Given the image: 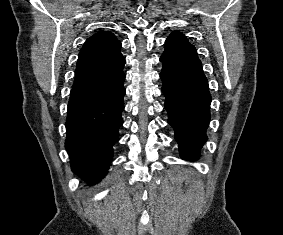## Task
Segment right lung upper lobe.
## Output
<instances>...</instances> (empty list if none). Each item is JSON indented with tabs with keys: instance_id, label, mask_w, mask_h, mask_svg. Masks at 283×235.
Listing matches in <instances>:
<instances>
[{
	"instance_id": "cb5924a9",
	"label": "right lung upper lobe",
	"mask_w": 283,
	"mask_h": 235,
	"mask_svg": "<svg viewBox=\"0 0 283 235\" xmlns=\"http://www.w3.org/2000/svg\"><path fill=\"white\" fill-rule=\"evenodd\" d=\"M121 43L109 31H101L84 43L78 57L73 86L100 80L122 70Z\"/></svg>"
}]
</instances>
